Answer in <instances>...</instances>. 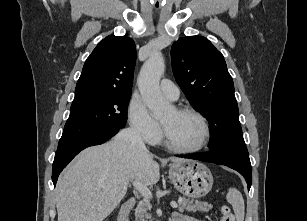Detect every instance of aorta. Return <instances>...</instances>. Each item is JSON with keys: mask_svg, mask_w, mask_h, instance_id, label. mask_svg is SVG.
Returning <instances> with one entry per match:
<instances>
[{"mask_svg": "<svg viewBox=\"0 0 307 221\" xmlns=\"http://www.w3.org/2000/svg\"><path fill=\"white\" fill-rule=\"evenodd\" d=\"M165 70V62L161 52L152 53L143 64L137 79L138 88L143 101L155 118H161L169 112L171 105L160 91V78Z\"/></svg>", "mask_w": 307, "mask_h": 221, "instance_id": "aorta-1", "label": "aorta"}]
</instances>
